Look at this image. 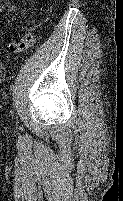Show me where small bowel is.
<instances>
[{
  "label": "small bowel",
  "instance_id": "c3829d8e",
  "mask_svg": "<svg viewBox=\"0 0 123 201\" xmlns=\"http://www.w3.org/2000/svg\"><path fill=\"white\" fill-rule=\"evenodd\" d=\"M2 10L3 6L0 3V13L2 12ZM33 43L34 37L32 33L29 32L23 37L21 41L14 40L10 45V49L14 52H21L22 50L29 48ZM2 62L4 61L2 60Z\"/></svg>",
  "mask_w": 123,
  "mask_h": 201
}]
</instances>
